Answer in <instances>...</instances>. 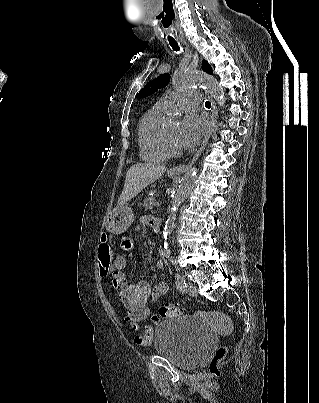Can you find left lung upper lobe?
<instances>
[{"label": "left lung upper lobe", "mask_w": 319, "mask_h": 403, "mask_svg": "<svg viewBox=\"0 0 319 403\" xmlns=\"http://www.w3.org/2000/svg\"><path fill=\"white\" fill-rule=\"evenodd\" d=\"M202 68L209 72L212 73V68L210 65L207 63V61H203L202 63ZM170 81V75L169 74H163L157 77L156 79L150 81L145 85L143 89L139 91V93L136 95V98H142V97H147L154 92H156L158 89L165 87Z\"/></svg>", "instance_id": "obj_1"}]
</instances>
